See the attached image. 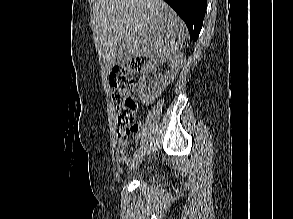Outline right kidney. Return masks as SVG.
I'll return each mask as SVG.
<instances>
[{"mask_svg":"<svg viewBox=\"0 0 293 219\" xmlns=\"http://www.w3.org/2000/svg\"><path fill=\"white\" fill-rule=\"evenodd\" d=\"M184 60L183 54L175 53L169 56L161 57L160 59H151L144 64L138 82V94L140 99L143 102H151L158 98L168 84H170V82L175 78ZM166 62L169 63L170 71L166 72L164 76H159L160 80L156 82L153 87H148L146 85L148 74L156 70L158 65Z\"/></svg>","mask_w":293,"mask_h":219,"instance_id":"ca27d5eb","label":"right kidney"}]
</instances>
